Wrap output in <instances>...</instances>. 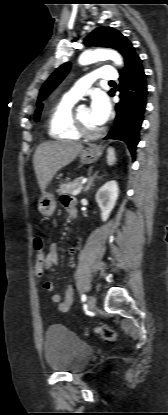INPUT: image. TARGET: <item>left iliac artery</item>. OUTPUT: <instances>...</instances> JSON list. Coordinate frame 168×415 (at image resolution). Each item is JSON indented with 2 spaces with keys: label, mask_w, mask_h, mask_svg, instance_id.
I'll return each mask as SVG.
<instances>
[{
  "label": "left iliac artery",
  "mask_w": 168,
  "mask_h": 415,
  "mask_svg": "<svg viewBox=\"0 0 168 415\" xmlns=\"http://www.w3.org/2000/svg\"><path fill=\"white\" fill-rule=\"evenodd\" d=\"M81 300H82V302H85V301H86V295H85V294H83V295L81 296Z\"/></svg>",
  "instance_id": "obj_1"
}]
</instances>
